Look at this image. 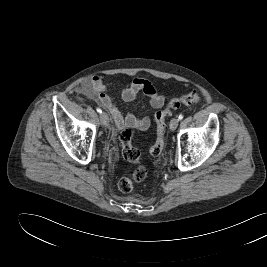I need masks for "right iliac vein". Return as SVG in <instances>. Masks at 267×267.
<instances>
[{
  "label": "right iliac vein",
  "instance_id": "obj_1",
  "mask_svg": "<svg viewBox=\"0 0 267 267\" xmlns=\"http://www.w3.org/2000/svg\"><path fill=\"white\" fill-rule=\"evenodd\" d=\"M100 121L103 126H108L109 125V117L106 113H101L100 115Z\"/></svg>",
  "mask_w": 267,
  "mask_h": 267
}]
</instances>
